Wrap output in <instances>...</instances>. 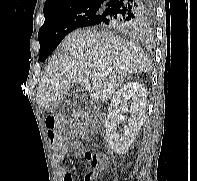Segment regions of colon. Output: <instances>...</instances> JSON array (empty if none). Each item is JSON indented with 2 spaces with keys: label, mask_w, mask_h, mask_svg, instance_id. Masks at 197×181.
Instances as JSON below:
<instances>
[{
  "label": "colon",
  "mask_w": 197,
  "mask_h": 181,
  "mask_svg": "<svg viewBox=\"0 0 197 181\" xmlns=\"http://www.w3.org/2000/svg\"><path fill=\"white\" fill-rule=\"evenodd\" d=\"M47 136L54 149H60L63 144V137L60 131L68 128L72 135H80L86 130V123L82 116H50L46 120ZM85 158L95 168H102L106 163L103 155H96L90 152L85 153ZM93 172L89 171L84 175L83 181H93Z\"/></svg>",
  "instance_id": "1"
}]
</instances>
